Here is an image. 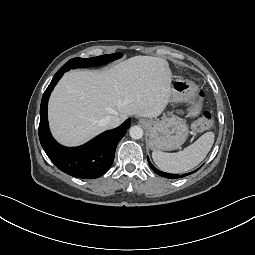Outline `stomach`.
<instances>
[{
    "label": "stomach",
    "mask_w": 255,
    "mask_h": 255,
    "mask_svg": "<svg viewBox=\"0 0 255 255\" xmlns=\"http://www.w3.org/2000/svg\"><path fill=\"white\" fill-rule=\"evenodd\" d=\"M170 102H192L188 109L190 117L197 116L201 111V101H196L198 86L189 80H175L172 84ZM148 132V146L154 151H168L180 148L189 133L186 121L176 117H166L162 120H142Z\"/></svg>",
    "instance_id": "0dacf381"
}]
</instances>
